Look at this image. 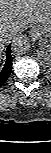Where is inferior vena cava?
I'll return each instance as SVG.
<instances>
[{"mask_svg":"<svg viewBox=\"0 0 51 153\" xmlns=\"http://www.w3.org/2000/svg\"><path fill=\"white\" fill-rule=\"evenodd\" d=\"M7 42H8L7 37H6L4 34H1V35H0V45H1V46H4V45L7 44Z\"/></svg>","mask_w":51,"mask_h":153,"instance_id":"602c4592","label":"inferior vena cava"}]
</instances>
